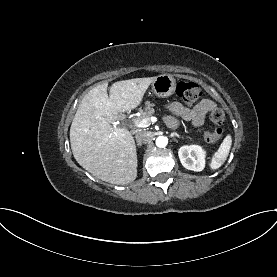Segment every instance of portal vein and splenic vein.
I'll return each instance as SVG.
<instances>
[{"label": "portal vein and splenic vein", "mask_w": 277, "mask_h": 277, "mask_svg": "<svg viewBox=\"0 0 277 277\" xmlns=\"http://www.w3.org/2000/svg\"><path fill=\"white\" fill-rule=\"evenodd\" d=\"M157 121L156 117H149V118H144L141 120H134V125L138 128H145L148 127L151 123H155Z\"/></svg>", "instance_id": "obj_1"}]
</instances>
